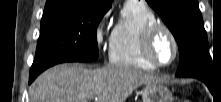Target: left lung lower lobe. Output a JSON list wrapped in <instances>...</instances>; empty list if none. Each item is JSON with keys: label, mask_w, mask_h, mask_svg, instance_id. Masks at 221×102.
<instances>
[{"label": "left lung lower lobe", "mask_w": 221, "mask_h": 102, "mask_svg": "<svg viewBox=\"0 0 221 102\" xmlns=\"http://www.w3.org/2000/svg\"><path fill=\"white\" fill-rule=\"evenodd\" d=\"M209 88L212 87V78L202 80Z\"/></svg>", "instance_id": "1"}]
</instances>
